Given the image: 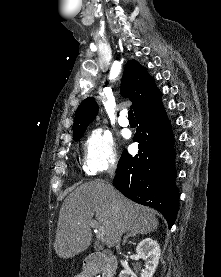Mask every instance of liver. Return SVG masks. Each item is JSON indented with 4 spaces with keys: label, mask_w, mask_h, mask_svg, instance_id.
<instances>
[{
    "label": "liver",
    "mask_w": 221,
    "mask_h": 277,
    "mask_svg": "<svg viewBox=\"0 0 221 277\" xmlns=\"http://www.w3.org/2000/svg\"><path fill=\"white\" fill-rule=\"evenodd\" d=\"M94 216L108 247L117 243V222L121 233L148 234L158 227L151 209L128 200L103 181L87 182L71 192L61 206L54 242L60 258H72L89 247L92 232L88 221Z\"/></svg>",
    "instance_id": "1"
}]
</instances>
